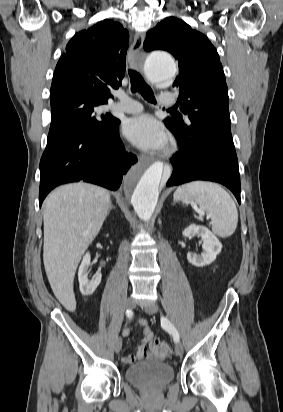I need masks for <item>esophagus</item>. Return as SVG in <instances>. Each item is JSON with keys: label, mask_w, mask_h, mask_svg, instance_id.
I'll return each mask as SVG.
<instances>
[{"label": "esophagus", "mask_w": 283, "mask_h": 412, "mask_svg": "<svg viewBox=\"0 0 283 412\" xmlns=\"http://www.w3.org/2000/svg\"><path fill=\"white\" fill-rule=\"evenodd\" d=\"M144 42V35L140 32L136 33L132 46L128 54V62L131 68L142 70L144 59L140 56Z\"/></svg>", "instance_id": "obj_1"}]
</instances>
